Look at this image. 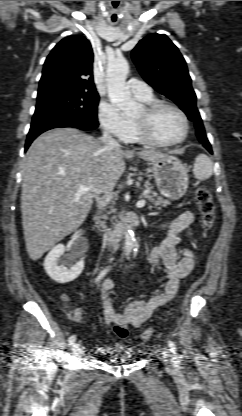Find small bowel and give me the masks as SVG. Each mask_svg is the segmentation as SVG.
<instances>
[{"label": "small bowel", "instance_id": "1", "mask_svg": "<svg viewBox=\"0 0 242 416\" xmlns=\"http://www.w3.org/2000/svg\"><path fill=\"white\" fill-rule=\"evenodd\" d=\"M193 219L194 215L192 212H185L165 224L153 226L156 230L166 231V237L162 243L154 247L149 254L151 266L166 281L162 292L153 295L147 300L130 301L125 305L122 312H117L111 297L115 284L111 279L103 281L101 285V301L107 324H122L126 327L139 328L150 319L158 307L168 304L175 299L180 281L190 274L195 264L194 255L189 246L182 250L181 258L178 257L175 248L180 232L184 231L188 240L191 238ZM83 315L82 308H75L71 320L81 322ZM119 346L118 344L100 345L96 347V352L100 355H107Z\"/></svg>", "mask_w": 242, "mask_h": 416}]
</instances>
